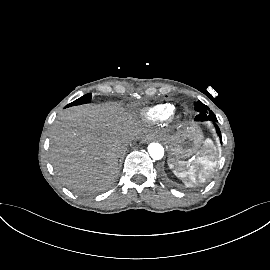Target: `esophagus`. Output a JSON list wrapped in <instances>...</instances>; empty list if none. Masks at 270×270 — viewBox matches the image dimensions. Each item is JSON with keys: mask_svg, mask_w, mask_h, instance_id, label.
<instances>
[{"mask_svg": "<svg viewBox=\"0 0 270 270\" xmlns=\"http://www.w3.org/2000/svg\"><path fill=\"white\" fill-rule=\"evenodd\" d=\"M151 138L150 137H146L145 139H144V142H147V141H149Z\"/></svg>", "mask_w": 270, "mask_h": 270, "instance_id": "1", "label": "esophagus"}]
</instances>
